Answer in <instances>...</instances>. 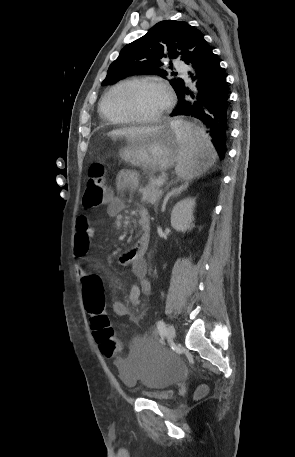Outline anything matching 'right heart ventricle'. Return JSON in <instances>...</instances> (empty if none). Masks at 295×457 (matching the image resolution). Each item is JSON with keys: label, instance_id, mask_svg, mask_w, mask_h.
I'll use <instances>...</instances> for the list:
<instances>
[{"label": "right heart ventricle", "instance_id": "right-heart-ventricle-1", "mask_svg": "<svg viewBox=\"0 0 295 457\" xmlns=\"http://www.w3.org/2000/svg\"><path fill=\"white\" fill-rule=\"evenodd\" d=\"M130 82V80H122L112 85L103 95L99 103V112L101 116L112 124H129L133 122L120 109L117 101V96L120 90Z\"/></svg>", "mask_w": 295, "mask_h": 457}]
</instances>
